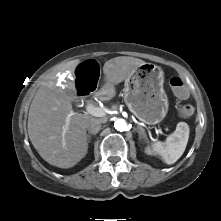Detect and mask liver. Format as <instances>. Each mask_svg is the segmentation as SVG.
I'll use <instances>...</instances> for the list:
<instances>
[{"mask_svg": "<svg viewBox=\"0 0 221 221\" xmlns=\"http://www.w3.org/2000/svg\"><path fill=\"white\" fill-rule=\"evenodd\" d=\"M79 60L67 63L66 69L74 73ZM141 59L119 56L105 62V91L108 96L114 86L126 80L140 65ZM76 98L73 83L64 88L56 85L55 76L45 80L30 105L28 114L29 139L39 155L49 164L59 168H71L85 157L88 151L86 123L88 114L74 113L71 102ZM69 123L66 126V120Z\"/></svg>", "mask_w": 221, "mask_h": 221, "instance_id": "obj_1", "label": "liver"}]
</instances>
